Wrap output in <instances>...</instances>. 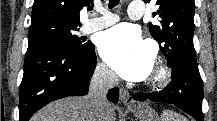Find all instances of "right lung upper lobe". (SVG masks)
Listing matches in <instances>:
<instances>
[{
    "label": "right lung upper lobe",
    "mask_w": 217,
    "mask_h": 121,
    "mask_svg": "<svg viewBox=\"0 0 217 121\" xmlns=\"http://www.w3.org/2000/svg\"><path fill=\"white\" fill-rule=\"evenodd\" d=\"M92 1V0H91ZM89 0H34L32 22L56 19L81 24L80 10L90 4Z\"/></svg>",
    "instance_id": "cb5924a9"
}]
</instances>
